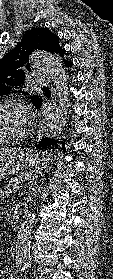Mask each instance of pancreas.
<instances>
[{"label": "pancreas", "instance_id": "1", "mask_svg": "<svg viewBox=\"0 0 113 279\" xmlns=\"http://www.w3.org/2000/svg\"><path fill=\"white\" fill-rule=\"evenodd\" d=\"M30 174L27 172H22L19 175L11 178L8 185L5 187V194L8 196L10 194L16 193L22 187L25 180L29 178Z\"/></svg>", "mask_w": 113, "mask_h": 279}]
</instances>
